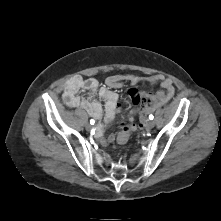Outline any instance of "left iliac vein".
I'll use <instances>...</instances> for the list:
<instances>
[{"label":"left iliac vein","mask_w":221,"mask_h":221,"mask_svg":"<svg viewBox=\"0 0 221 221\" xmlns=\"http://www.w3.org/2000/svg\"><path fill=\"white\" fill-rule=\"evenodd\" d=\"M155 123L154 121H148L147 124H146V128L147 129H152L154 127Z\"/></svg>","instance_id":"left-iliac-vein-1"}]
</instances>
